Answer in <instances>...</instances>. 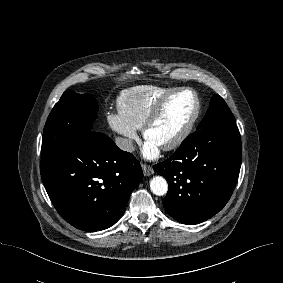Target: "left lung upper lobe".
I'll return each instance as SVG.
<instances>
[{
    "label": "left lung upper lobe",
    "mask_w": 283,
    "mask_h": 283,
    "mask_svg": "<svg viewBox=\"0 0 283 283\" xmlns=\"http://www.w3.org/2000/svg\"><path fill=\"white\" fill-rule=\"evenodd\" d=\"M226 124H235V118L223 98L216 94L212 97L206 115L197 129L201 130L212 126Z\"/></svg>",
    "instance_id": "obj_1"
}]
</instances>
